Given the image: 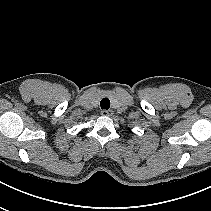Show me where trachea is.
Listing matches in <instances>:
<instances>
[{
  "mask_svg": "<svg viewBox=\"0 0 211 211\" xmlns=\"http://www.w3.org/2000/svg\"><path fill=\"white\" fill-rule=\"evenodd\" d=\"M101 109L108 110L110 107V100L108 98H103L100 102Z\"/></svg>",
  "mask_w": 211,
  "mask_h": 211,
  "instance_id": "1",
  "label": "trachea"
}]
</instances>
